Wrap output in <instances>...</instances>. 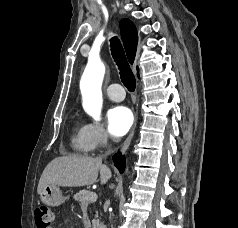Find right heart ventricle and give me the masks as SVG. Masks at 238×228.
Wrapping results in <instances>:
<instances>
[{"label":"right heart ventricle","instance_id":"right-heart-ventricle-1","mask_svg":"<svg viewBox=\"0 0 238 228\" xmlns=\"http://www.w3.org/2000/svg\"><path fill=\"white\" fill-rule=\"evenodd\" d=\"M72 147L78 153H88L91 151L90 144L86 138L84 126L78 121L74 124V133L72 136Z\"/></svg>","mask_w":238,"mask_h":228}]
</instances>
